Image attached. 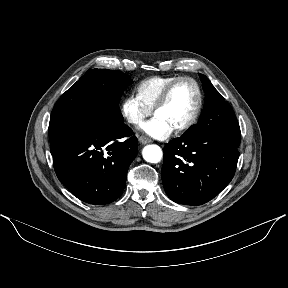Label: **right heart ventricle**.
<instances>
[{
  "mask_svg": "<svg viewBox=\"0 0 288 288\" xmlns=\"http://www.w3.org/2000/svg\"><path fill=\"white\" fill-rule=\"evenodd\" d=\"M176 76H153L142 80L136 88L137 97L151 108L160 94Z\"/></svg>",
  "mask_w": 288,
  "mask_h": 288,
  "instance_id": "obj_1",
  "label": "right heart ventricle"
}]
</instances>
